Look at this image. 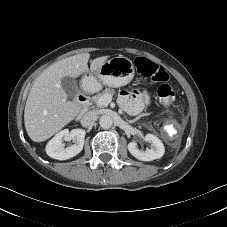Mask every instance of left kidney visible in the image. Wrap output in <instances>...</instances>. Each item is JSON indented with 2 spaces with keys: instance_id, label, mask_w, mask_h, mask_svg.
<instances>
[{
  "instance_id": "5707ae66",
  "label": "left kidney",
  "mask_w": 227,
  "mask_h": 227,
  "mask_svg": "<svg viewBox=\"0 0 227 227\" xmlns=\"http://www.w3.org/2000/svg\"><path fill=\"white\" fill-rule=\"evenodd\" d=\"M145 141L151 143V149L142 151L138 148L137 143L130 142L128 144V150L132 156L141 161H152L159 159L164 155L165 149L162 141L153 134H146Z\"/></svg>"
}]
</instances>
